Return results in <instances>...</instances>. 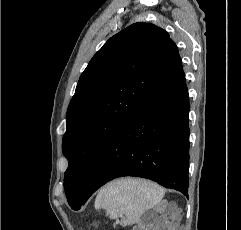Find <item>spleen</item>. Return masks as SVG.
I'll return each instance as SVG.
<instances>
[{
	"label": "spleen",
	"instance_id": "1",
	"mask_svg": "<svg viewBox=\"0 0 241 230\" xmlns=\"http://www.w3.org/2000/svg\"><path fill=\"white\" fill-rule=\"evenodd\" d=\"M164 190L156 183L133 178L111 182L100 189L95 208H103L112 219L125 215V224L137 222L142 214L161 202Z\"/></svg>",
	"mask_w": 241,
	"mask_h": 230
}]
</instances>
